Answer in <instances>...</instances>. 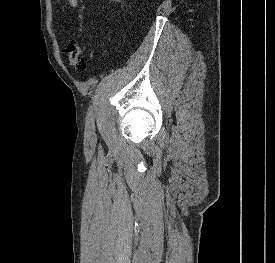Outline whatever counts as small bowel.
Wrapping results in <instances>:
<instances>
[{
    "instance_id": "small-bowel-1",
    "label": "small bowel",
    "mask_w": 275,
    "mask_h": 263,
    "mask_svg": "<svg viewBox=\"0 0 275 263\" xmlns=\"http://www.w3.org/2000/svg\"><path fill=\"white\" fill-rule=\"evenodd\" d=\"M68 2L72 8H77L78 0H68Z\"/></svg>"
}]
</instances>
